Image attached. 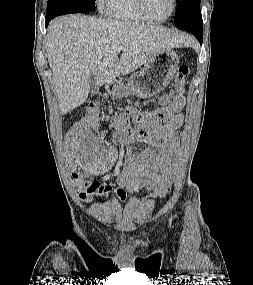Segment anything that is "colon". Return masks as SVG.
Listing matches in <instances>:
<instances>
[{"label":"colon","mask_w":253,"mask_h":285,"mask_svg":"<svg viewBox=\"0 0 253 285\" xmlns=\"http://www.w3.org/2000/svg\"><path fill=\"white\" fill-rule=\"evenodd\" d=\"M190 75V68L187 65H180L177 69L175 79V92L182 91L187 78ZM110 117L113 118L112 122H107L108 127L113 126H129L134 122V118L128 114H115L110 112ZM100 123V111L98 103H92L89 107L87 115L81 120V126L83 127H97ZM80 126H72L71 129H67L65 133V144L67 150L65 151V164L67 167L63 168L64 172H70V179L76 180V189L80 198L83 200H89L93 197L107 196L111 194L112 189L109 186H104L98 182L85 181L88 180V167H81L80 159L75 158L78 151L82 150L79 144L80 137L83 136ZM92 141H97V136L91 137ZM116 195L121 200L125 198V192L122 189L116 191Z\"/></svg>","instance_id":"colon-1"}]
</instances>
